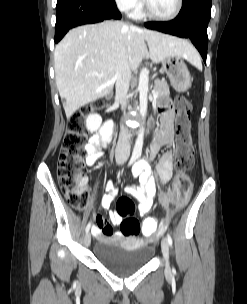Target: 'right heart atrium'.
I'll list each match as a JSON object with an SVG mask.
<instances>
[{
	"label": "right heart atrium",
	"mask_w": 247,
	"mask_h": 304,
	"mask_svg": "<svg viewBox=\"0 0 247 304\" xmlns=\"http://www.w3.org/2000/svg\"><path fill=\"white\" fill-rule=\"evenodd\" d=\"M115 3L123 11L137 10L141 6V0H115Z\"/></svg>",
	"instance_id": "obj_1"
}]
</instances>
